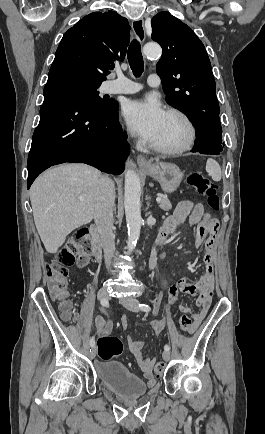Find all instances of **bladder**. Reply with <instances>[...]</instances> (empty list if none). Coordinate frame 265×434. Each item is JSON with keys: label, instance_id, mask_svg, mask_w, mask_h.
I'll return each instance as SVG.
<instances>
[{"label": "bladder", "instance_id": "bladder-1", "mask_svg": "<svg viewBox=\"0 0 265 434\" xmlns=\"http://www.w3.org/2000/svg\"><path fill=\"white\" fill-rule=\"evenodd\" d=\"M96 372L100 380L122 398H139L148 391L147 385L119 361H98Z\"/></svg>", "mask_w": 265, "mask_h": 434}]
</instances>
